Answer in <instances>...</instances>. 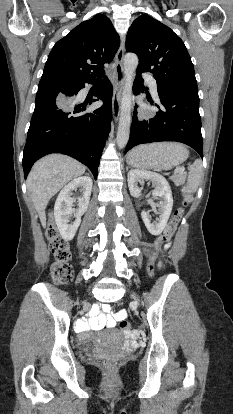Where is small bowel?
Returning a JSON list of instances; mask_svg holds the SVG:
<instances>
[{
  "label": "small bowel",
  "instance_id": "c3829d8e",
  "mask_svg": "<svg viewBox=\"0 0 233 414\" xmlns=\"http://www.w3.org/2000/svg\"><path fill=\"white\" fill-rule=\"evenodd\" d=\"M158 266L161 267L162 263L159 262ZM94 305L88 319L77 321L76 328L79 332L84 333L88 330L97 331L103 328H113L117 322L122 321L126 317L125 310L112 312L111 306L108 303L102 304L101 301H96Z\"/></svg>",
  "mask_w": 233,
  "mask_h": 414
}]
</instances>
